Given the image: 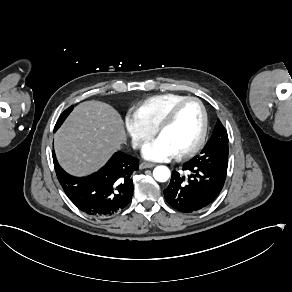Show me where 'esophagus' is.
<instances>
[{"mask_svg": "<svg viewBox=\"0 0 292 292\" xmlns=\"http://www.w3.org/2000/svg\"><path fill=\"white\" fill-rule=\"evenodd\" d=\"M155 164L153 163H148V162H142L139 166L140 169H147V168H152L154 167Z\"/></svg>", "mask_w": 292, "mask_h": 292, "instance_id": "34e87169", "label": "esophagus"}]
</instances>
